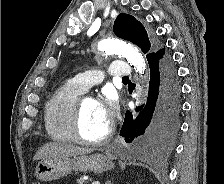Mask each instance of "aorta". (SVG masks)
<instances>
[{
  "label": "aorta",
  "instance_id": "762f6f07",
  "mask_svg": "<svg viewBox=\"0 0 224 184\" xmlns=\"http://www.w3.org/2000/svg\"><path fill=\"white\" fill-rule=\"evenodd\" d=\"M98 49L100 51L123 55L140 74L146 70V63L143 56L136 47L129 43L118 39H104L98 43Z\"/></svg>",
  "mask_w": 224,
  "mask_h": 184
}]
</instances>
